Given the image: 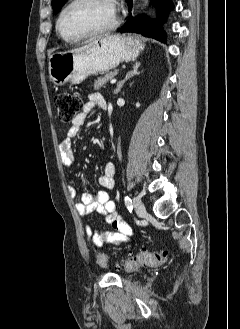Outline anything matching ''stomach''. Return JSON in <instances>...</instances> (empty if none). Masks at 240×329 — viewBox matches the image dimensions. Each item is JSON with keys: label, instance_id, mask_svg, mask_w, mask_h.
<instances>
[{"label": "stomach", "instance_id": "0dacf381", "mask_svg": "<svg viewBox=\"0 0 240 329\" xmlns=\"http://www.w3.org/2000/svg\"><path fill=\"white\" fill-rule=\"evenodd\" d=\"M142 49L141 40L135 36H105L86 50L51 55L50 79L55 85L79 84L90 75L108 72L121 62L135 60Z\"/></svg>", "mask_w": 240, "mask_h": 329}]
</instances>
